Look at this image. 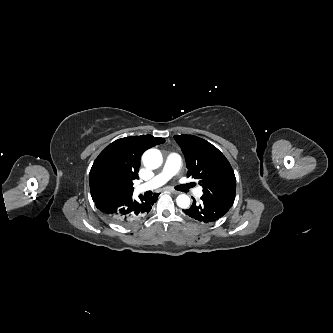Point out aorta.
<instances>
[{
	"label": "aorta",
	"mask_w": 333,
	"mask_h": 333,
	"mask_svg": "<svg viewBox=\"0 0 333 333\" xmlns=\"http://www.w3.org/2000/svg\"><path fill=\"white\" fill-rule=\"evenodd\" d=\"M142 160L146 167L156 169L162 163V154L157 149H149L143 154ZM176 202L180 208L186 209L190 205V198L185 194H181L177 197Z\"/></svg>",
	"instance_id": "aorta-1"
}]
</instances>
